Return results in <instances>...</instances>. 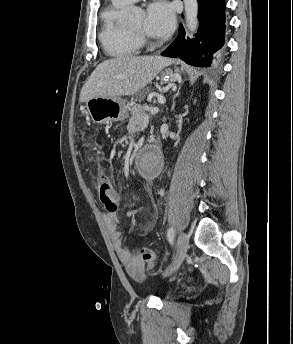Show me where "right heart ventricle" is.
<instances>
[{"instance_id": "obj_1", "label": "right heart ventricle", "mask_w": 293, "mask_h": 344, "mask_svg": "<svg viewBox=\"0 0 293 344\" xmlns=\"http://www.w3.org/2000/svg\"><path fill=\"white\" fill-rule=\"evenodd\" d=\"M127 6L128 4H119L111 0V3L100 14L99 39L108 56L116 58L134 57L140 53V41L120 23Z\"/></svg>"}]
</instances>
